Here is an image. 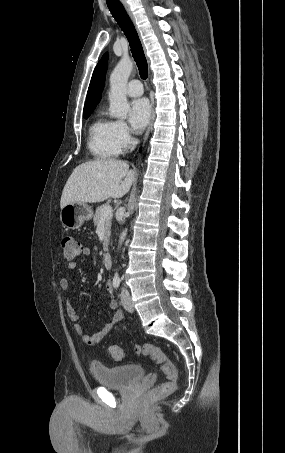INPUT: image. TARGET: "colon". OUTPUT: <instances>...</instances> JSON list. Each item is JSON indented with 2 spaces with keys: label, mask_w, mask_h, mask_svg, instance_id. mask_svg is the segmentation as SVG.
<instances>
[{
  "label": "colon",
  "mask_w": 285,
  "mask_h": 453,
  "mask_svg": "<svg viewBox=\"0 0 285 453\" xmlns=\"http://www.w3.org/2000/svg\"><path fill=\"white\" fill-rule=\"evenodd\" d=\"M62 248L66 260L75 259L81 250L80 243L73 237L66 236L62 239ZM110 354L115 361H121L124 351L117 345H111ZM135 352L140 355L148 356L161 365L162 371L167 376V380L150 392L151 397L163 398L172 394L177 386L178 372L174 363L167 357L166 353L159 346L145 342L135 346Z\"/></svg>",
  "instance_id": "1"
}]
</instances>
